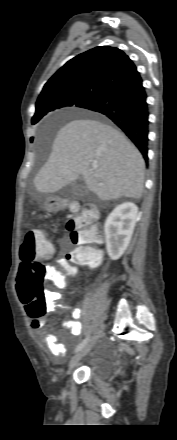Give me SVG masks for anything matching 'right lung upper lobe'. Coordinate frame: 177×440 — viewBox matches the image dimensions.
Returning a JSON list of instances; mask_svg holds the SVG:
<instances>
[{
	"instance_id": "cb5924a9",
	"label": "right lung upper lobe",
	"mask_w": 177,
	"mask_h": 440,
	"mask_svg": "<svg viewBox=\"0 0 177 440\" xmlns=\"http://www.w3.org/2000/svg\"><path fill=\"white\" fill-rule=\"evenodd\" d=\"M139 76L134 63L120 49L99 46L69 60L45 84L36 104L63 92L102 96Z\"/></svg>"
}]
</instances>
